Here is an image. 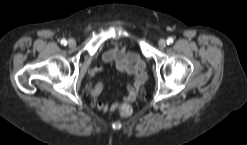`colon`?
I'll list each match as a JSON object with an SVG mask.
<instances>
[{"instance_id":"colon-1","label":"colon","mask_w":247,"mask_h":145,"mask_svg":"<svg viewBox=\"0 0 247 145\" xmlns=\"http://www.w3.org/2000/svg\"><path fill=\"white\" fill-rule=\"evenodd\" d=\"M132 111V107L127 103H123L119 108V113L123 117H129L132 114Z\"/></svg>"}]
</instances>
